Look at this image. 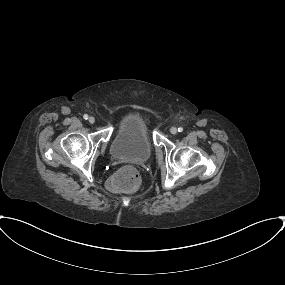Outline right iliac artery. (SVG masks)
<instances>
[{"label": "right iliac artery", "mask_w": 285, "mask_h": 285, "mask_svg": "<svg viewBox=\"0 0 285 285\" xmlns=\"http://www.w3.org/2000/svg\"><path fill=\"white\" fill-rule=\"evenodd\" d=\"M83 118H84L85 120H87V119H88V115H87V114H84Z\"/></svg>", "instance_id": "right-iliac-artery-1"}]
</instances>
